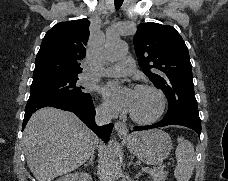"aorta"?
<instances>
[{
    "instance_id": "aorta-1",
    "label": "aorta",
    "mask_w": 228,
    "mask_h": 181,
    "mask_svg": "<svg viewBox=\"0 0 228 181\" xmlns=\"http://www.w3.org/2000/svg\"><path fill=\"white\" fill-rule=\"evenodd\" d=\"M127 44L119 39H108L105 46V56L108 61L114 62L127 54ZM106 163L112 178L119 176V150L116 141L111 140L107 146Z\"/></svg>"
}]
</instances>
